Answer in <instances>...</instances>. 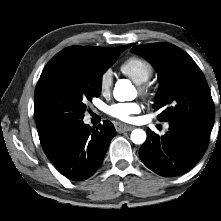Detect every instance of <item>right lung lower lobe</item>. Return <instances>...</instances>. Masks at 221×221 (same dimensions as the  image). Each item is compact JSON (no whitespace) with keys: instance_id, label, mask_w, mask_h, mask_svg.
Masks as SVG:
<instances>
[{"instance_id":"obj_1","label":"right lung lower lobe","mask_w":221,"mask_h":221,"mask_svg":"<svg viewBox=\"0 0 221 221\" xmlns=\"http://www.w3.org/2000/svg\"><path fill=\"white\" fill-rule=\"evenodd\" d=\"M114 125L104 120L97 129L83 121L61 131L44 148L47 157L68 179L81 181L92 176L101 166L112 138Z\"/></svg>"}]
</instances>
